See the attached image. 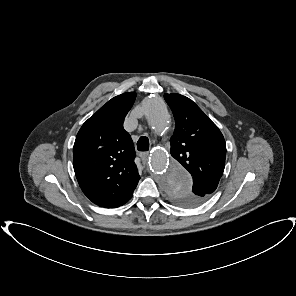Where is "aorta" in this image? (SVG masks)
Listing matches in <instances>:
<instances>
[{
	"instance_id": "aorta-1",
	"label": "aorta",
	"mask_w": 296,
	"mask_h": 296,
	"mask_svg": "<svg viewBox=\"0 0 296 296\" xmlns=\"http://www.w3.org/2000/svg\"><path fill=\"white\" fill-rule=\"evenodd\" d=\"M141 111L157 133L169 128L170 115L161 99L157 97L146 98L142 102ZM150 156L151 169L164 191L171 193L177 190H191V176L173 157V150L168 144L164 142L155 143L150 149Z\"/></svg>"
}]
</instances>
